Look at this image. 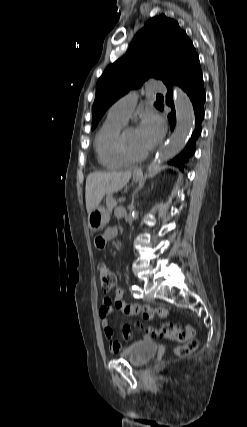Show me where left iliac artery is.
Segmentation results:
<instances>
[{
  "label": "left iliac artery",
  "mask_w": 247,
  "mask_h": 427,
  "mask_svg": "<svg viewBox=\"0 0 247 427\" xmlns=\"http://www.w3.org/2000/svg\"><path fill=\"white\" fill-rule=\"evenodd\" d=\"M130 291L135 298H142L143 297V291L139 286L133 285L130 288Z\"/></svg>",
  "instance_id": "44dca946"
}]
</instances>
